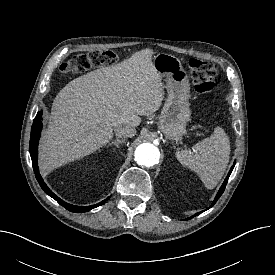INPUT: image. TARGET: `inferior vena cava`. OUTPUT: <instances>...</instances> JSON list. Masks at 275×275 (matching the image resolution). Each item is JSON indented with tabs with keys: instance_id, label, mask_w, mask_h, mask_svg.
Returning a JSON list of instances; mask_svg holds the SVG:
<instances>
[{
	"instance_id": "1",
	"label": "inferior vena cava",
	"mask_w": 275,
	"mask_h": 275,
	"mask_svg": "<svg viewBox=\"0 0 275 275\" xmlns=\"http://www.w3.org/2000/svg\"><path fill=\"white\" fill-rule=\"evenodd\" d=\"M114 132L117 137L128 138V137H133L136 134V129L131 125L122 124V125H117L114 128Z\"/></svg>"
}]
</instances>
